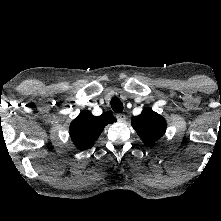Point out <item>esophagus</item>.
Segmentation results:
<instances>
[{
  "label": "esophagus",
  "mask_w": 221,
  "mask_h": 221,
  "mask_svg": "<svg viewBox=\"0 0 221 221\" xmlns=\"http://www.w3.org/2000/svg\"><path fill=\"white\" fill-rule=\"evenodd\" d=\"M116 118H117L120 122H123V121H125L126 116H125V114L119 113V114L116 115Z\"/></svg>",
  "instance_id": "esophagus-1"
}]
</instances>
